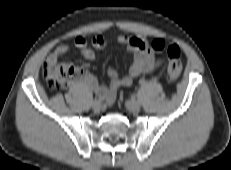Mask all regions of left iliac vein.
Returning <instances> with one entry per match:
<instances>
[{
	"label": "left iliac vein",
	"mask_w": 231,
	"mask_h": 170,
	"mask_svg": "<svg viewBox=\"0 0 231 170\" xmlns=\"http://www.w3.org/2000/svg\"><path fill=\"white\" fill-rule=\"evenodd\" d=\"M125 105L127 109L130 110L131 112H139L141 108L140 103L137 101H133V100H127L125 102Z\"/></svg>",
	"instance_id": "left-iliac-vein-1"
}]
</instances>
